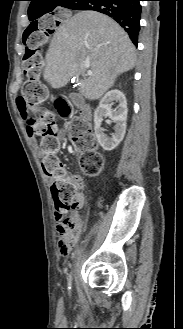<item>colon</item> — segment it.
Instances as JSON below:
<instances>
[{
    "instance_id": "colon-1",
    "label": "colon",
    "mask_w": 183,
    "mask_h": 329,
    "mask_svg": "<svg viewBox=\"0 0 183 329\" xmlns=\"http://www.w3.org/2000/svg\"><path fill=\"white\" fill-rule=\"evenodd\" d=\"M65 21H72V14H41V19H34L33 25H28L22 31L24 38V55L22 69L25 80L22 85L23 96H17L18 114H33L30 127L33 135L41 140L43 153L42 168L44 173L53 179L51 193L54 200L56 218L62 225L67 244L74 245L78 236L77 227L67 218V213L78 207V184L67 176L65 168L58 157L59 139L53 114L40 107L43 97V86L39 81L41 70V50L48 49L49 38H54V32H59V26H65ZM60 103L61 100L59 99ZM71 134L80 150L79 164L87 176H96L102 166L103 159L95 150L96 141L88 123L75 117L71 123Z\"/></svg>"
}]
</instances>
